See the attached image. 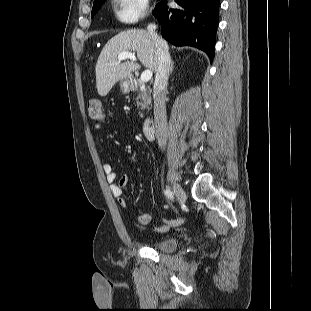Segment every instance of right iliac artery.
<instances>
[{"label": "right iliac artery", "instance_id": "obj_1", "mask_svg": "<svg viewBox=\"0 0 311 311\" xmlns=\"http://www.w3.org/2000/svg\"><path fill=\"white\" fill-rule=\"evenodd\" d=\"M165 196L170 199L171 201H174V194L170 189H166L164 191Z\"/></svg>", "mask_w": 311, "mask_h": 311}]
</instances>
